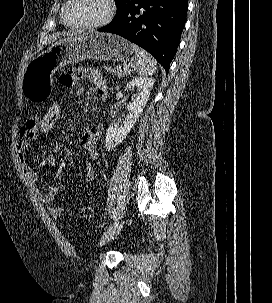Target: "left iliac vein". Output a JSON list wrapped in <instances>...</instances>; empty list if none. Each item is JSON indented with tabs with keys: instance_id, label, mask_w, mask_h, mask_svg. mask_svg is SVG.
Segmentation results:
<instances>
[{
	"instance_id": "obj_1",
	"label": "left iliac vein",
	"mask_w": 272,
	"mask_h": 303,
	"mask_svg": "<svg viewBox=\"0 0 272 303\" xmlns=\"http://www.w3.org/2000/svg\"><path fill=\"white\" fill-rule=\"evenodd\" d=\"M121 228H122V223L116 222L115 227L112 230L105 233V235L102 237L100 245L102 246L108 241H110L113 238V236L121 230Z\"/></svg>"
}]
</instances>
